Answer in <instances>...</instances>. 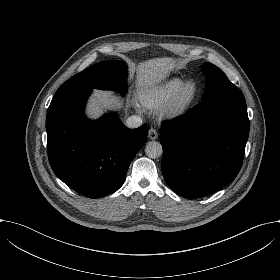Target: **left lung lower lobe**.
<instances>
[{
    "label": "left lung lower lobe",
    "mask_w": 280,
    "mask_h": 280,
    "mask_svg": "<svg viewBox=\"0 0 280 280\" xmlns=\"http://www.w3.org/2000/svg\"><path fill=\"white\" fill-rule=\"evenodd\" d=\"M162 173L177 194L199 198L237 176L249 136L247 106L240 89L201 101L162 124Z\"/></svg>",
    "instance_id": "1"
}]
</instances>
